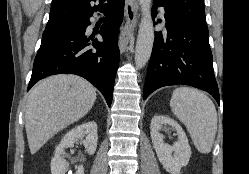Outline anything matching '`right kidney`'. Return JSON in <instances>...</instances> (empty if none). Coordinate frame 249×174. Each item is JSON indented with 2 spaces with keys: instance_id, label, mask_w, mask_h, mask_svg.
I'll use <instances>...</instances> for the list:
<instances>
[{
  "instance_id": "ca27d5eb",
  "label": "right kidney",
  "mask_w": 249,
  "mask_h": 174,
  "mask_svg": "<svg viewBox=\"0 0 249 174\" xmlns=\"http://www.w3.org/2000/svg\"><path fill=\"white\" fill-rule=\"evenodd\" d=\"M86 135L85 139L84 136ZM79 139L83 140V144L88 154L93 155L97 148V124L88 122L81 124L70 130L61 140L60 144L55 149L54 157L51 160L52 174H65L68 168V163L62 157L66 148H72L74 143ZM75 174H84L83 165L78 166Z\"/></svg>"
}]
</instances>
